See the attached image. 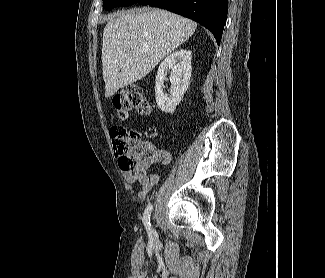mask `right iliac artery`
<instances>
[{
    "label": "right iliac artery",
    "instance_id": "82829eb1",
    "mask_svg": "<svg viewBox=\"0 0 325 278\" xmlns=\"http://www.w3.org/2000/svg\"><path fill=\"white\" fill-rule=\"evenodd\" d=\"M151 210H152V205L149 204L146 207L145 212H144V215H143V223H144V226H145L147 232L150 233V234L153 232V230L151 228V223H150Z\"/></svg>",
    "mask_w": 325,
    "mask_h": 278
}]
</instances>
